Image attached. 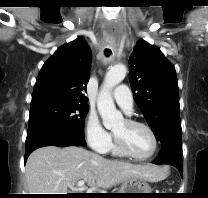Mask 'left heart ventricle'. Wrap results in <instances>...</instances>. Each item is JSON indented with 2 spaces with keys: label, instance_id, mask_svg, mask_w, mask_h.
Returning a JSON list of instances; mask_svg holds the SVG:
<instances>
[{
  "label": "left heart ventricle",
  "instance_id": "left-heart-ventricle-1",
  "mask_svg": "<svg viewBox=\"0 0 208 198\" xmlns=\"http://www.w3.org/2000/svg\"><path fill=\"white\" fill-rule=\"evenodd\" d=\"M113 132L117 137L123 140L129 150L137 156L143 157L152 151V137L143 127L131 126L122 120L113 128Z\"/></svg>",
  "mask_w": 208,
  "mask_h": 198
}]
</instances>
